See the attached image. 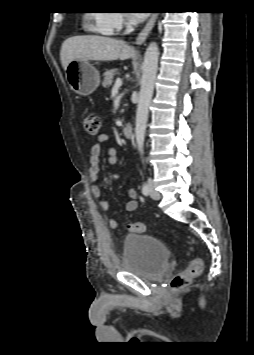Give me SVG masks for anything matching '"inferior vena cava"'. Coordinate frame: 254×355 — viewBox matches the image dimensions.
Masks as SVG:
<instances>
[{
    "label": "inferior vena cava",
    "instance_id": "1",
    "mask_svg": "<svg viewBox=\"0 0 254 355\" xmlns=\"http://www.w3.org/2000/svg\"><path fill=\"white\" fill-rule=\"evenodd\" d=\"M134 30L133 26L131 25V23H126V30H125V34H128L130 32H132Z\"/></svg>",
    "mask_w": 254,
    "mask_h": 355
}]
</instances>
